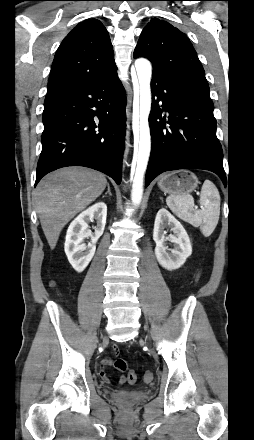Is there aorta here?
<instances>
[{
    "instance_id": "762f6f07",
    "label": "aorta",
    "mask_w": 254,
    "mask_h": 440,
    "mask_svg": "<svg viewBox=\"0 0 254 440\" xmlns=\"http://www.w3.org/2000/svg\"><path fill=\"white\" fill-rule=\"evenodd\" d=\"M135 68L140 90L139 99L134 100L133 104L134 156L132 166V201L135 205H139L143 196V179L151 151L148 117L151 110L150 81L152 67L147 59L139 58L135 61Z\"/></svg>"
}]
</instances>
